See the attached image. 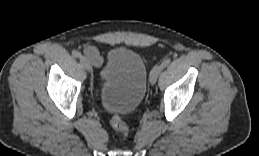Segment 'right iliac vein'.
<instances>
[{
  "instance_id": "right-iliac-vein-1",
  "label": "right iliac vein",
  "mask_w": 259,
  "mask_h": 156,
  "mask_svg": "<svg viewBox=\"0 0 259 156\" xmlns=\"http://www.w3.org/2000/svg\"><path fill=\"white\" fill-rule=\"evenodd\" d=\"M80 63L82 64V66H83L89 73L92 72V68H91L90 63H89V61L87 60L86 57L81 56V57H80Z\"/></svg>"
}]
</instances>
